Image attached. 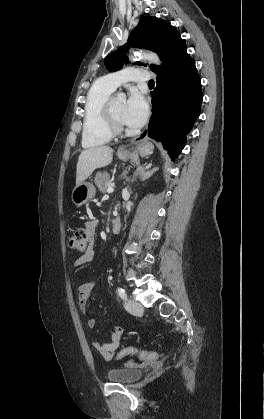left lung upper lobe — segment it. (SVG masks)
Listing matches in <instances>:
<instances>
[{
	"label": "left lung upper lobe",
	"mask_w": 264,
	"mask_h": 419,
	"mask_svg": "<svg viewBox=\"0 0 264 419\" xmlns=\"http://www.w3.org/2000/svg\"><path fill=\"white\" fill-rule=\"evenodd\" d=\"M180 37L179 32L167 21L144 16L140 19L138 25L131 32L128 42L117 51L110 53L105 59V67L108 71L114 72L120 70L124 63H128L125 56L129 46L149 49L158 53L162 58V53L169 48ZM137 65H142L136 62ZM160 67L151 65V69L156 72Z\"/></svg>",
	"instance_id": "obj_1"
}]
</instances>
